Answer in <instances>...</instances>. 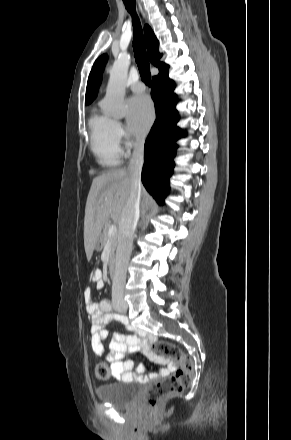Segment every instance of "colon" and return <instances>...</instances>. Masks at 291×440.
<instances>
[{
	"mask_svg": "<svg viewBox=\"0 0 291 440\" xmlns=\"http://www.w3.org/2000/svg\"><path fill=\"white\" fill-rule=\"evenodd\" d=\"M150 355L159 359H173L179 363V369L171 376L155 382L147 391L144 403L150 409L157 408L160 403L187 388L193 379V362L175 344L167 341H156L150 347ZM111 369L107 364H99L95 376L99 381L111 377Z\"/></svg>",
	"mask_w": 291,
	"mask_h": 440,
	"instance_id": "colon-1",
	"label": "colon"
}]
</instances>
